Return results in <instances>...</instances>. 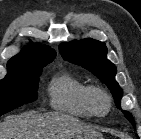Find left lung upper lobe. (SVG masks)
Segmentation results:
<instances>
[{"mask_svg":"<svg viewBox=\"0 0 141 139\" xmlns=\"http://www.w3.org/2000/svg\"><path fill=\"white\" fill-rule=\"evenodd\" d=\"M59 50L65 60L81 65L105 83L113 94L116 106L121 109L123 91L115 80L116 67L107 59L105 43L87 38L60 44ZM123 113L135 127L131 114L126 111Z\"/></svg>","mask_w":141,"mask_h":139,"instance_id":"5c2ea615","label":"left lung upper lobe"}]
</instances>
